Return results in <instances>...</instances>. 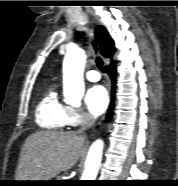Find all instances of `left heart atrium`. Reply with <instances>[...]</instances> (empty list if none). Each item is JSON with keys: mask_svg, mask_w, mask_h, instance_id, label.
Masks as SVG:
<instances>
[{"mask_svg": "<svg viewBox=\"0 0 178 186\" xmlns=\"http://www.w3.org/2000/svg\"><path fill=\"white\" fill-rule=\"evenodd\" d=\"M85 103L92 115H101L108 106V93L106 89L101 85L92 86L86 93Z\"/></svg>", "mask_w": 178, "mask_h": 186, "instance_id": "left-heart-atrium-1", "label": "left heart atrium"}]
</instances>
